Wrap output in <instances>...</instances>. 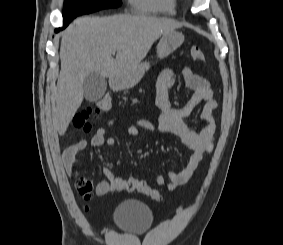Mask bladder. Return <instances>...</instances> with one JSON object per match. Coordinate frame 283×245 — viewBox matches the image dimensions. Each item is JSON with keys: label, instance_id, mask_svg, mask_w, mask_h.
I'll return each instance as SVG.
<instances>
[{"label": "bladder", "instance_id": "1", "mask_svg": "<svg viewBox=\"0 0 283 245\" xmlns=\"http://www.w3.org/2000/svg\"><path fill=\"white\" fill-rule=\"evenodd\" d=\"M113 219L120 230L141 234L151 227L154 216L152 210L143 202L126 200L117 205Z\"/></svg>", "mask_w": 283, "mask_h": 245}]
</instances>
